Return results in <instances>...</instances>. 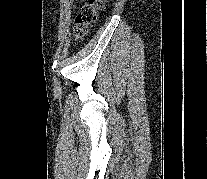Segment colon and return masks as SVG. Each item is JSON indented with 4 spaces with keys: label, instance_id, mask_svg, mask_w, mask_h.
I'll return each mask as SVG.
<instances>
[{
    "label": "colon",
    "instance_id": "obj_1",
    "mask_svg": "<svg viewBox=\"0 0 207 179\" xmlns=\"http://www.w3.org/2000/svg\"><path fill=\"white\" fill-rule=\"evenodd\" d=\"M107 0H87L75 17L74 35L82 39L90 25L98 19L99 13L104 9Z\"/></svg>",
    "mask_w": 207,
    "mask_h": 179
}]
</instances>
